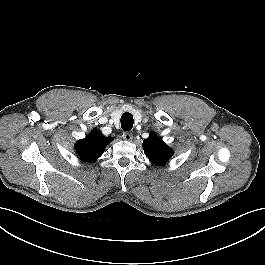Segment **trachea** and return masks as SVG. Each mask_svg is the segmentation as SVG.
<instances>
[{
	"label": "trachea",
	"instance_id": "obj_1",
	"mask_svg": "<svg viewBox=\"0 0 265 265\" xmlns=\"http://www.w3.org/2000/svg\"><path fill=\"white\" fill-rule=\"evenodd\" d=\"M133 123H134V119L131 113L129 112H125L122 116H121V128L124 131H129L132 129L133 127Z\"/></svg>",
	"mask_w": 265,
	"mask_h": 265
}]
</instances>
